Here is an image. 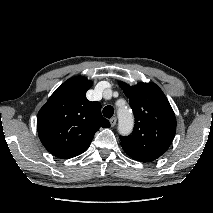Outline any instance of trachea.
I'll return each mask as SVG.
<instances>
[{
    "mask_svg": "<svg viewBox=\"0 0 213 213\" xmlns=\"http://www.w3.org/2000/svg\"><path fill=\"white\" fill-rule=\"evenodd\" d=\"M114 114V108L110 105L104 107L103 109V115L106 118H111Z\"/></svg>",
    "mask_w": 213,
    "mask_h": 213,
    "instance_id": "trachea-1",
    "label": "trachea"
}]
</instances>
